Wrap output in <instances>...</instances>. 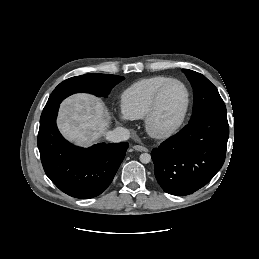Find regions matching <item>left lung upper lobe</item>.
Wrapping results in <instances>:
<instances>
[{"instance_id": "obj_1", "label": "left lung upper lobe", "mask_w": 259, "mask_h": 259, "mask_svg": "<svg viewBox=\"0 0 259 259\" xmlns=\"http://www.w3.org/2000/svg\"><path fill=\"white\" fill-rule=\"evenodd\" d=\"M183 72L190 81L194 94L190 120L210 113H226L225 104L217 88L204 75L188 69H183Z\"/></svg>"}]
</instances>
